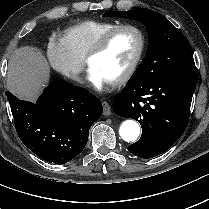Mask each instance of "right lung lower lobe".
I'll return each mask as SVG.
<instances>
[{"label":"right lung lower lobe","instance_id":"right-lung-lower-lobe-1","mask_svg":"<svg viewBox=\"0 0 209 209\" xmlns=\"http://www.w3.org/2000/svg\"><path fill=\"white\" fill-rule=\"evenodd\" d=\"M21 141L38 157L64 164L86 146L91 125L102 115L99 99L81 87L56 79L36 103L6 92Z\"/></svg>","mask_w":209,"mask_h":209}]
</instances>
